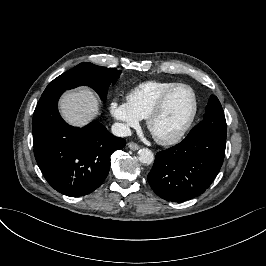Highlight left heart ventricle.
<instances>
[{"mask_svg":"<svg viewBox=\"0 0 266 266\" xmlns=\"http://www.w3.org/2000/svg\"><path fill=\"white\" fill-rule=\"evenodd\" d=\"M194 110V97L186 87L177 88L168 98L162 112L152 121L153 134L159 137L176 135L189 121Z\"/></svg>","mask_w":266,"mask_h":266,"instance_id":"b2bd125f","label":"left heart ventricle"}]
</instances>
